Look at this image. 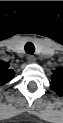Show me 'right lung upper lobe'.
Returning <instances> with one entry per match:
<instances>
[{"label": "right lung upper lobe", "mask_w": 63, "mask_h": 123, "mask_svg": "<svg viewBox=\"0 0 63 123\" xmlns=\"http://www.w3.org/2000/svg\"><path fill=\"white\" fill-rule=\"evenodd\" d=\"M15 75V72L10 68L9 63L2 62L0 64V84L3 85L9 82Z\"/></svg>", "instance_id": "cb5924a9"}]
</instances>
